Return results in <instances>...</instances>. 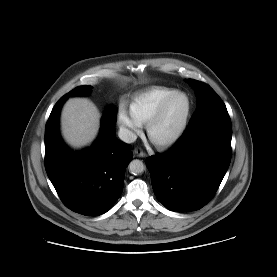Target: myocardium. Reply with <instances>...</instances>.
Instances as JSON below:
<instances>
[{"label": "myocardium", "instance_id": "f54148a6", "mask_svg": "<svg viewBox=\"0 0 277 277\" xmlns=\"http://www.w3.org/2000/svg\"><path fill=\"white\" fill-rule=\"evenodd\" d=\"M178 95H183L187 99V110H186V113H185L182 123L180 124V126L176 130V132L173 135H171L170 137H168L164 140H155L152 136V131H153L154 126L156 125V123L159 121V119L163 115L168 104ZM191 113H192V100H191L190 96L184 91L176 90L175 92H173L172 94L167 96L158 105L156 110L153 112V114L150 116V118L146 122V133H147L148 138L158 148H166V147L173 145L185 133V131L188 127V124H189Z\"/></svg>", "mask_w": 277, "mask_h": 277}]
</instances>
